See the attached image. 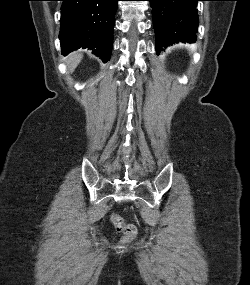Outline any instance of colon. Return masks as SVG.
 Here are the masks:
<instances>
[{
  "label": "colon",
  "instance_id": "colon-1",
  "mask_svg": "<svg viewBox=\"0 0 250 285\" xmlns=\"http://www.w3.org/2000/svg\"><path fill=\"white\" fill-rule=\"evenodd\" d=\"M111 221L116 230L123 234L124 239L129 241L133 239L137 234V228L133 224L126 223L123 218L118 214L111 215Z\"/></svg>",
  "mask_w": 250,
  "mask_h": 285
}]
</instances>
